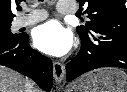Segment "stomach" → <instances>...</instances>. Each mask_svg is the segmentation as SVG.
Returning <instances> with one entry per match:
<instances>
[{
    "instance_id": "0dacf381",
    "label": "stomach",
    "mask_w": 127,
    "mask_h": 92,
    "mask_svg": "<svg viewBox=\"0 0 127 92\" xmlns=\"http://www.w3.org/2000/svg\"><path fill=\"white\" fill-rule=\"evenodd\" d=\"M67 92H127V74L118 68H101L72 83Z\"/></svg>"
}]
</instances>
